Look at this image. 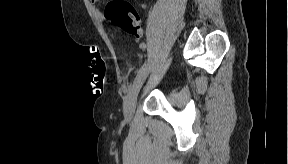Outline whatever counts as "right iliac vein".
I'll return each instance as SVG.
<instances>
[{
  "label": "right iliac vein",
  "instance_id": "obj_1",
  "mask_svg": "<svg viewBox=\"0 0 288 164\" xmlns=\"http://www.w3.org/2000/svg\"><path fill=\"white\" fill-rule=\"evenodd\" d=\"M150 72V64L145 63L137 74L136 80L130 88L127 99L124 104V116L130 120L136 108V101L139 91Z\"/></svg>",
  "mask_w": 288,
  "mask_h": 164
}]
</instances>
